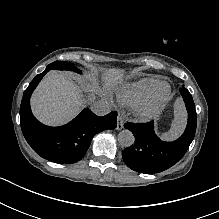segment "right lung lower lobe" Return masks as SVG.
I'll return each mask as SVG.
<instances>
[{"label":"right lung lower lobe","mask_w":219,"mask_h":219,"mask_svg":"<svg viewBox=\"0 0 219 219\" xmlns=\"http://www.w3.org/2000/svg\"><path fill=\"white\" fill-rule=\"evenodd\" d=\"M48 71L46 69L38 74L23 94L20 106L21 129L29 145L41 157L55 163H75L84 157L94 135L116 127L117 112L98 117L86 108L64 126L43 125L31 112L30 97Z\"/></svg>","instance_id":"obj_1"}]
</instances>
